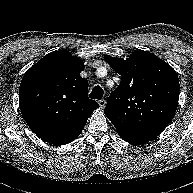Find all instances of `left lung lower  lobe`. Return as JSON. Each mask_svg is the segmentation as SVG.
Returning <instances> with one entry per match:
<instances>
[{
	"mask_svg": "<svg viewBox=\"0 0 193 193\" xmlns=\"http://www.w3.org/2000/svg\"><path fill=\"white\" fill-rule=\"evenodd\" d=\"M119 136L124 141H126L130 144H134V145L144 144V143L155 138V137H151V136H122V135H119Z\"/></svg>",
	"mask_w": 193,
	"mask_h": 193,
	"instance_id": "1",
	"label": "left lung lower lobe"
}]
</instances>
